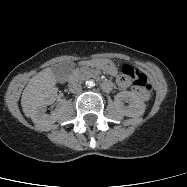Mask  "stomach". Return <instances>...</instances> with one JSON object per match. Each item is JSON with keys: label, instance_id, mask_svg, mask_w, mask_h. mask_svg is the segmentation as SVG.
<instances>
[{"label": "stomach", "instance_id": "1", "mask_svg": "<svg viewBox=\"0 0 187 187\" xmlns=\"http://www.w3.org/2000/svg\"><path fill=\"white\" fill-rule=\"evenodd\" d=\"M89 64L93 67L99 68L108 74H117V67L112 60L106 58H95L89 61Z\"/></svg>", "mask_w": 187, "mask_h": 187}]
</instances>
